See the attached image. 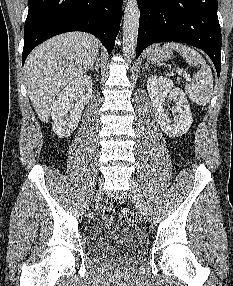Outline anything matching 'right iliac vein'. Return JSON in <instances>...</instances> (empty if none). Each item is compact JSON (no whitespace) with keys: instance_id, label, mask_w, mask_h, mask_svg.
<instances>
[{"instance_id":"right-iliac-vein-1","label":"right iliac vein","mask_w":233,"mask_h":286,"mask_svg":"<svg viewBox=\"0 0 233 286\" xmlns=\"http://www.w3.org/2000/svg\"><path fill=\"white\" fill-rule=\"evenodd\" d=\"M102 196H103V191L99 189L98 192L96 193V197L97 199H100Z\"/></svg>"}]
</instances>
